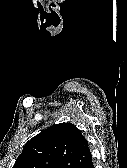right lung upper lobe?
Returning a JSON list of instances; mask_svg holds the SVG:
<instances>
[{
  "label": "right lung upper lobe",
  "mask_w": 127,
  "mask_h": 168,
  "mask_svg": "<svg viewBox=\"0 0 127 168\" xmlns=\"http://www.w3.org/2000/svg\"><path fill=\"white\" fill-rule=\"evenodd\" d=\"M92 158L88 143L72 123L48 127L23 148L13 168H75Z\"/></svg>",
  "instance_id": "cb5924a9"
}]
</instances>
